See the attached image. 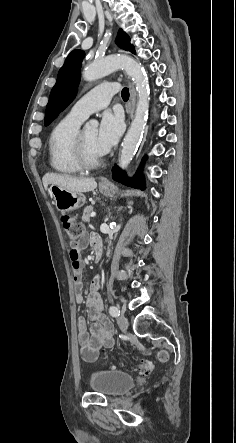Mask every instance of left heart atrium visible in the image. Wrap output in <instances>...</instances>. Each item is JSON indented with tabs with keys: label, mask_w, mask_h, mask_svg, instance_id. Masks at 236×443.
I'll return each instance as SVG.
<instances>
[{
	"label": "left heart atrium",
	"mask_w": 236,
	"mask_h": 443,
	"mask_svg": "<svg viewBox=\"0 0 236 443\" xmlns=\"http://www.w3.org/2000/svg\"><path fill=\"white\" fill-rule=\"evenodd\" d=\"M123 131V120L118 114L105 112L96 134V148L100 155L107 153L118 141Z\"/></svg>",
	"instance_id": "obj_1"
}]
</instances>
